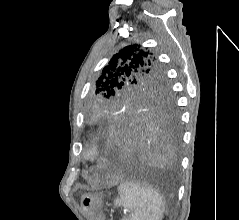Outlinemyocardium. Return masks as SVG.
<instances>
[{"label": "myocardium", "instance_id": "f54148a6", "mask_svg": "<svg viewBox=\"0 0 239 220\" xmlns=\"http://www.w3.org/2000/svg\"><path fill=\"white\" fill-rule=\"evenodd\" d=\"M103 151L102 144L99 139H93L85 149L84 158L87 160L97 159Z\"/></svg>", "mask_w": 239, "mask_h": 220}]
</instances>
